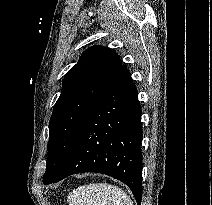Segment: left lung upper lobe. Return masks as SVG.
<instances>
[{
	"instance_id": "left-lung-upper-lobe-1",
	"label": "left lung upper lobe",
	"mask_w": 212,
	"mask_h": 205,
	"mask_svg": "<svg viewBox=\"0 0 212 205\" xmlns=\"http://www.w3.org/2000/svg\"><path fill=\"white\" fill-rule=\"evenodd\" d=\"M122 62L110 48L87 49L65 75L49 122L45 184L58 176L90 110L111 84Z\"/></svg>"
}]
</instances>
